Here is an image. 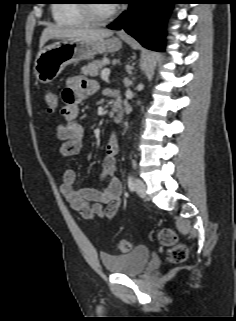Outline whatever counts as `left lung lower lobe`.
<instances>
[{
    "instance_id": "left-lung-lower-lobe-1",
    "label": "left lung lower lobe",
    "mask_w": 236,
    "mask_h": 321,
    "mask_svg": "<svg viewBox=\"0 0 236 321\" xmlns=\"http://www.w3.org/2000/svg\"><path fill=\"white\" fill-rule=\"evenodd\" d=\"M127 13L108 25L109 29H124L144 47L164 50L163 22L173 3L167 0H129Z\"/></svg>"
}]
</instances>
